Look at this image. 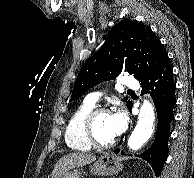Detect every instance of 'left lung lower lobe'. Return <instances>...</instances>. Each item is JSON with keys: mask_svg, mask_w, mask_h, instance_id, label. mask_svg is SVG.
<instances>
[{"mask_svg": "<svg viewBox=\"0 0 194 178\" xmlns=\"http://www.w3.org/2000/svg\"><path fill=\"white\" fill-rule=\"evenodd\" d=\"M139 82L142 86V93L147 92L152 96L158 116L155 141L140 156L152 166L156 176H158L168 155L169 127L174 119L173 107L176 104V85L168 55L153 72ZM131 108L132 104L128 109L131 111ZM119 151V149L115 150L116 153H119Z\"/></svg>", "mask_w": 194, "mask_h": 178, "instance_id": "left-lung-lower-lobe-1", "label": "left lung lower lobe"}]
</instances>
